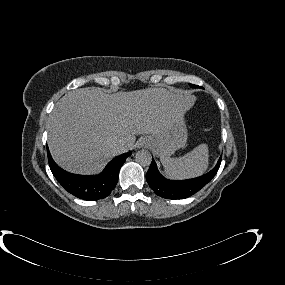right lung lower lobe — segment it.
<instances>
[{"label":"right lung lower lobe","instance_id":"1","mask_svg":"<svg viewBox=\"0 0 285 285\" xmlns=\"http://www.w3.org/2000/svg\"><path fill=\"white\" fill-rule=\"evenodd\" d=\"M48 162L50 169L62 185L72 195L87 201H95L107 197L117 184L119 170L131 152L111 160L97 176H81L68 173L61 169L52 159L49 150Z\"/></svg>","mask_w":285,"mask_h":285}]
</instances>
